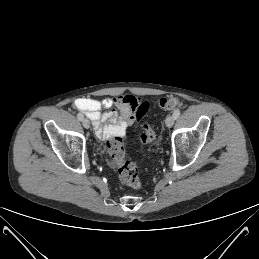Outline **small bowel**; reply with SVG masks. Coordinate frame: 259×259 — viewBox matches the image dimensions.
Masks as SVG:
<instances>
[{
  "instance_id": "obj_1",
  "label": "small bowel",
  "mask_w": 259,
  "mask_h": 259,
  "mask_svg": "<svg viewBox=\"0 0 259 259\" xmlns=\"http://www.w3.org/2000/svg\"><path fill=\"white\" fill-rule=\"evenodd\" d=\"M138 105L139 100L133 95L74 100V106L92 120L95 133L101 140L123 135L136 121L135 110Z\"/></svg>"
}]
</instances>
